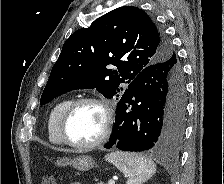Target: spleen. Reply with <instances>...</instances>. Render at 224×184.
I'll list each match as a JSON object with an SVG mask.
<instances>
[{
    "instance_id": "spleen-1",
    "label": "spleen",
    "mask_w": 224,
    "mask_h": 184,
    "mask_svg": "<svg viewBox=\"0 0 224 184\" xmlns=\"http://www.w3.org/2000/svg\"><path fill=\"white\" fill-rule=\"evenodd\" d=\"M105 159L126 175V184H142L156 172V164L151 159L136 153L117 151L107 154Z\"/></svg>"
}]
</instances>
